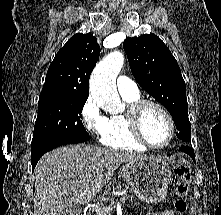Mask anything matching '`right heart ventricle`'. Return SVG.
Here are the masks:
<instances>
[{
    "label": "right heart ventricle",
    "instance_id": "e07e8e85",
    "mask_svg": "<svg viewBox=\"0 0 221 215\" xmlns=\"http://www.w3.org/2000/svg\"><path fill=\"white\" fill-rule=\"evenodd\" d=\"M121 96L128 106L140 99L139 93L121 94ZM101 142L105 146L127 151L142 152L147 150V147L138 142L133 136L127 117V111L111 114L107 118V125L101 136Z\"/></svg>",
    "mask_w": 221,
    "mask_h": 215
}]
</instances>
